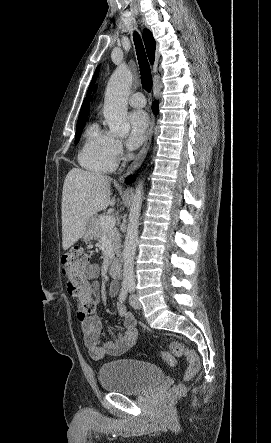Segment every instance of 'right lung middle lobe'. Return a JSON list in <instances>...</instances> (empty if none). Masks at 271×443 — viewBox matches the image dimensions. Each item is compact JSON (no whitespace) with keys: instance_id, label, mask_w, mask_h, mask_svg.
Instances as JSON below:
<instances>
[{"instance_id":"dd1d6c3e","label":"right lung middle lobe","mask_w":271,"mask_h":443,"mask_svg":"<svg viewBox=\"0 0 271 443\" xmlns=\"http://www.w3.org/2000/svg\"><path fill=\"white\" fill-rule=\"evenodd\" d=\"M86 119L87 118H84V119L78 120V122H77L75 144H77L79 139H80V136H81L83 127L85 125Z\"/></svg>"}]
</instances>
